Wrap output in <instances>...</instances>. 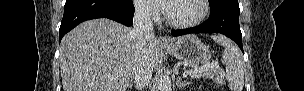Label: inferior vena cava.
Returning <instances> with one entry per match:
<instances>
[{
    "label": "inferior vena cava",
    "mask_w": 304,
    "mask_h": 91,
    "mask_svg": "<svg viewBox=\"0 0 304 91\" xmlns=\"http://www.w3.org/2000/svg\"><path fill=\"white\" fill-rule=\"evenodd\" d=\"M131 34L135 41L137 54L133 79L137 88L142 90L149 84L153 73V68L147 60L149 41L155 39L151 13L148 7L142 5L135 6Z\"/></svg>",
    "instance_id": "obj_1"
}]
</instances>
